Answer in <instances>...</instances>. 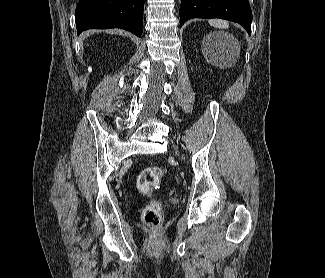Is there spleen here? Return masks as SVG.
Returning a JSON list of instances; mask_svg holds the SVG:
<instances>
[{"label":"spleen","instance_id":"spleen-1","mask_svg":"<svg viewBox=\"0 0 325 278\" xmlns=\"http://www.w3.org/2000/svg\"><path fill=\"white\" fill-rule=\"evenodd\" d=\"M209 24L213 27L221 28V29H225L229 25L227 21H223L219 19H211L209 20Z\"/></svg>","mask_w":325,"mask_h":278}]
</instances>
